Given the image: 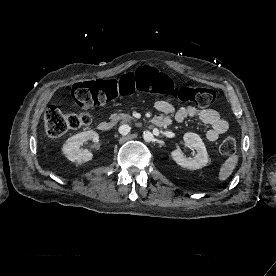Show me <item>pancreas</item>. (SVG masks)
<instances>
[{
    "label": "pancreas",
    "instance_id": "obj_1",
    "mask_svg": "<svg viewBox=\"0 0 276 276\" xmlns=\"http://www.w3.org/2000/svg\"><path fill=\"white\" fill-rule=\"evenodd\" d=\"M133 119L134 118L132 116H130L129 114H124V113L112 114L110 116V120H111L110 123H111V125H115V124H117L118 121H121L122 123H126Z\"/></svg>",
    "mask_w": 276,
    "mask_h": 276
}]
</instances>
